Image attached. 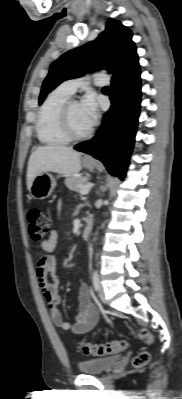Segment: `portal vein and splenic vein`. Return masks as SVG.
Wrapping results in <instances>:
<instances>
[{
	"label": "portal vein and splenic vein",
	"mask_w": 182,
	"mask_h": 399,
	"mask_svg": "<svg viewBox=\"0 0 182 399\" xmlns=\"http://www.w3.org/2000/svg\"><path fill=\"white\" fill-rule=\"evenodd\" d=\"M93 187L92 183H88L81 187V195H86L89 193L90 189Z\"/></svg>",
	"instance_id": "18ae733b"
}]
</instances>
